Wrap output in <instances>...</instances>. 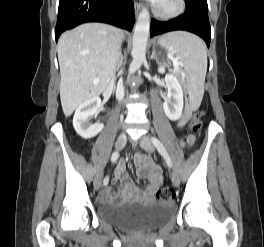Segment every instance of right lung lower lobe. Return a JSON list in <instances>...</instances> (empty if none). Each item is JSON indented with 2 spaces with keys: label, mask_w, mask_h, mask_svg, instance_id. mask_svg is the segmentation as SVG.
I'll return each mask as SVG.
<instances>
[{
  "label": "right lung lower lobe",
  "mask_w": 264,
  "mask_h": 247,
  "mask_svg": "<svg viewBox=\"0 0 264 247\" xmlns=\"http://www.w3.org/2000/svg\"><path fill=\"white\" fill-rule=\"evenodd\" d=\"M86 22L108 23L131 31L135 23L132 0H60L55 38Z\"/></svg>",
  "instance_id": "98d812e1"
}]
</instances>
